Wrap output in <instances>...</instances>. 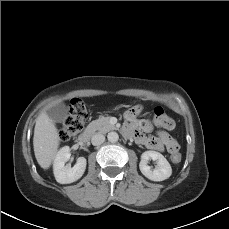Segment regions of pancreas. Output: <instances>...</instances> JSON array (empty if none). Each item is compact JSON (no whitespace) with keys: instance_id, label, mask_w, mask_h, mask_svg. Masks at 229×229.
I'll return each instance as SVG.
<instances>
[{"instance_id":"pancreas-1","label":"pancreas","mask_w":229,"mask_h":229,"mask_svg":"<svg viewBox=\"0 0 229 229\" xmlns=\"http://www.w3.org/2000/svg\"><path fill=\"white\" fill-rule=\"evenodd\" d=\"M116 127L109 122V117H100L97 120L92 121L88 127L87 131L92 133L98 131L99 133H107L110 130H114Z\"/></svg>"}]
</instances>
